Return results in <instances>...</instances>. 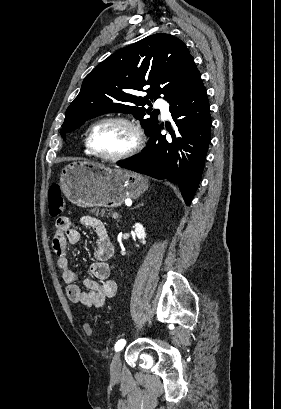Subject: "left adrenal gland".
Instances as JSON below:
<instances>
[{
	"mask_svg": "<svg viewBox=\"0 0 281 409\" xmlns=\"http://www.w3.org/2000/svg\"><path fill=\"white\" fill-rule=\"evenodd\" d=\"M144 202H140V205H137V207H143ZM137 207H134V209H137Z\"/></svg>",
	"mask_w": 281,
	"mask_h": 409,
	"instance_id": "a2214340",
	"label": "left adrenal gland"
}]
</instances>
